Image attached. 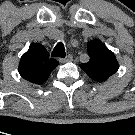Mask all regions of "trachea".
I'll return each instance as SVG.
<instances>
[{"instance_id":"3493384b","label":"trachea","mask_w":135,"mask_h":135,"mask_svg":"<svg viewBox=\"0 0 135 135\" xmlns=\"http://www.w3.org/2000/svg\"><path fill=\"white\" fill-rule=\"evenodd\" d=\"M66 52L62 42H59L52 51L51 57L65 58Z\"/></svg>"}]
</instances>
